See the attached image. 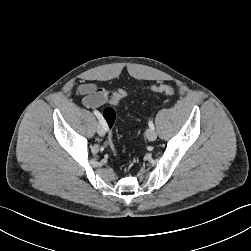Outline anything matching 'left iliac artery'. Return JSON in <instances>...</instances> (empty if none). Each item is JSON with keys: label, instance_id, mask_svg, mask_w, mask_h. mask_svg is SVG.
<instances>
[{"label": "left iliac artery", "instance_id": "left-iliac-artery-1", "mask_svg": "<svg viewBox=\"0 0 251 251\" xmlns=\"http://www.w3.org/2000/svg\"><path fill=\"white\" fill-rule=\"evenodd\" d=\"M148 125H149L150 129H152V130L155 129L154 124H153V121H152L151 119L149 120Z\"/></svg>", "mask_w": 251, "mask_h": 251}]
</instances>
